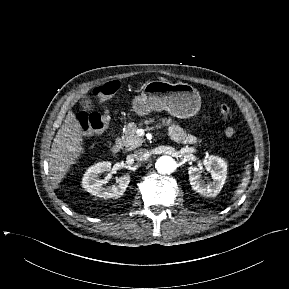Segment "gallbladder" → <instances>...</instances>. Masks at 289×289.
<instances>
[{
	"label": "gallbladder",
	"mask_w": 289,
	"mask_h": 289,
	"mask_svg": "<svg viewBox=\"0 0 289 289\" xmlns=\"http://www.w3.org/2000/svg\"><path fill=\"white\" fill-rule=\"evenodd\" d=\"M82 105L85 109L90 110L92 107V103L89 99H86L85 101L82 102Z\"/></svg>",
	"instance_id": "bac80fb5"
}]
</instances>
